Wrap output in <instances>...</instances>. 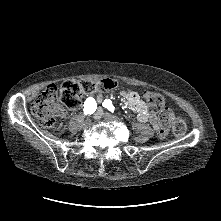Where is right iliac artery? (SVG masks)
<instances>
[{
    "mask_svg": "<svg viewBox=\"0 0 221 221\" xmlns=\"http://www.w3.org/2000/svg\"><path fill=\"white\" fill-rule=\"evenodd\" d=\"M97 109V103L94 98L90 97L88 98L84 103V114L85 115H91L93 114Z\"/></svg>",
    "mask_w": 221,
    "mask_h": 221,
    "instance_id": "obj_1",
    "label": "right iliac artery"
}]
</instances>
